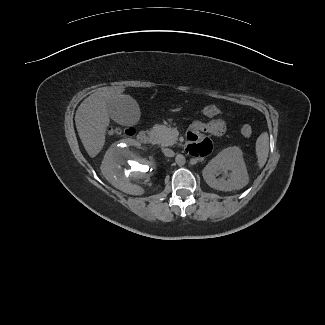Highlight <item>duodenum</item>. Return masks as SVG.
Wrapping results in <instances>:
<instances>
[{
    "label": "duodenum",
    "instance_id": "1",
    "mask_svg": "<svg viewBox=\"0 0 325 325\" xmlns=\"http://www.w3.org/2000/svg\"><path fill=\"white\" fill-rule=\"evenodd\" d=\"M137 140L142 144H150L153 141V135L150 131H141L137 136Z\"/></svg>",
    "mask_w": 325,
    "mask_h": 325
}]
</instances>
